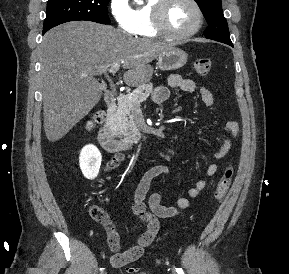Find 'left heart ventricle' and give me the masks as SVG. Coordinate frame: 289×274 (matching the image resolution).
<instances>
[{
  "mask_svg": "<svg viewBox=\"0 0 289 274\" xmlns=\"http://www.w3.org/2000/svg\"><path fill=\"white\" fill-rule=\"evenodd\" d=\"M166 22L172 31L186 32L196 25L197 14L188 0H173L167 10Z\"/></svg>",
  "mask_w": 289,
  "mask_h": 274,
  "instance_id": "left-heart-ventricle-1",
  "label": "left heart ventricle"
}]
</instances>
